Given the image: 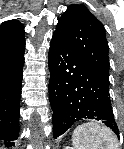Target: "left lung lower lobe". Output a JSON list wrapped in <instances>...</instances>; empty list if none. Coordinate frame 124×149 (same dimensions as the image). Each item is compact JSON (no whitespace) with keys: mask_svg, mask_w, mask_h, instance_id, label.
Segmentation results:
<instances>
[{"mask_svg":"<svg viewBox=\"0 0 124 149\" xmlns=\"http://www.w3.org/2000/svg\"><path fill=\"white\" fill-rule=\"evenodd\" d=\"M48 57L54 138L83 119L101 121L119 137L109 95V80L98 74L55 32Z\"/></svg>","mask_w":124,"mask_h":149,"instance_id":"obj_1","label":"left lung lower lobe"}]
</instances>
